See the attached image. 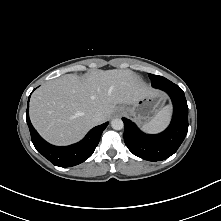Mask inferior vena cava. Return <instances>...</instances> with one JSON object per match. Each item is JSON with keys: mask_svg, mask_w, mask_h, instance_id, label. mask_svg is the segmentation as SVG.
<instances>
[{"mask_svg": "<svg viewBox=\"0 0 221 221\" xmlns=\"http://www.w3.org/2000/svg\"><path fill=\"white\" fill-rule=\"evenodd\" d=\"M93 119L98 123L101 122L102 121V114L100 112L95 113L93 116Z\"/></svg>", "mask_w": 221, "mask_h": 221, "instance_id": "obj_1", "label": "inferior vena cava"}]
</instances>
